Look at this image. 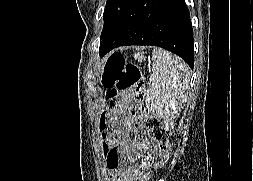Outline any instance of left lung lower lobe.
<instances>
[{"mask_svg": "<svg viewBox=\"0 0 253 181\" xmlns=\"http://www.w3.org/2000/svg\"><path fill=\"white\" fill-rule=\"evenodd\" d=\"M124 45H154L194 66L193 30L184 0H132L102 38L100 55Z\"/></svg>", "mask_w": 253, "mask_h": 181, "instance_id": "1", "label": "left lung lower lobe"}]
</instances>
